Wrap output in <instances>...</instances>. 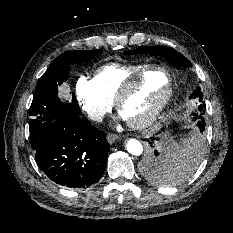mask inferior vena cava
Returning a JSON list of instances; mask_svg holds the SVG:
<instances>
[{"label":"inferior vena cava","mask_w":233,"mask_h":233,"mask_svg":"<svg viewBox=\"0 0 233 233\" xmlns=\"http://www.w3.org/2000/svg\"><path fill=\"white\" fill-rule=\"evenodd\" d=\"M104 114L100 111H96L90 114V118L94 121L101 122L103 120Z\"/></svg>","instance_id":"obj_1"}]
</instances>
